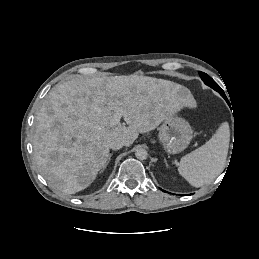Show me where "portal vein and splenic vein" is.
<instances>
[{
    "label": "portal vein and splenic vein",
    "mask_w": 259,
    "mask_h": 259,
    "mask_svg": "<svg viewBox=\"0 0 259 259\" xmlns=\"http://www.w3.org/2000/svg\"><path fill=\"white\" fill-rule=\"evenodd\" d=\"M123 114H124L123 110L116 111V113L113 115V118L110 121V126L113 127V126H116L117 124H119L120 119L123 116Z\"/></svg>",
    "instance_id": "obj_1"
}]
</instances>
